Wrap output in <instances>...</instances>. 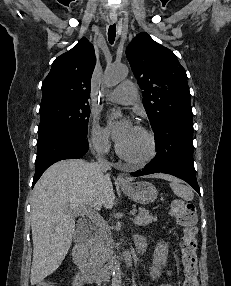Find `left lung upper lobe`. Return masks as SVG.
<instances>
[{
    "mask_svg": "<svg viewBox=\"0 0 231 286\" xmlns=\"http://www.w3.org/2000/svg\"><path fill=\"white\" fill-rule=\"evenodd\" d=\"M126 56L143 90V104L153 131L170 118L192 119L187 75L171 50L142 32L130 43Z\"/></svg>",
    "mask_w": 231,
    "mask_h": 286,
    "instance_id": "1",
    "label": "left lung upper lobe"
}]
</instances>
